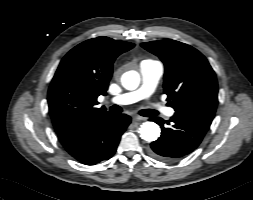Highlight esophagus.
<instances>
[{
    "mask_svg": "<svg viewBox=\"0 0 253 200\" xmlns=\"http://www.w3.org/2000/svg\"><path fill=\"white\" fill-rule=\"evenodd\" d=\"M143 120H145V118L140 117V116L133 117V123H137V122H140V121H143Z\"/></svg>",
    "mask_w": 253,
    "mask_h": 200,
    "instance_id": "obj_1",
    "label": "esophagus"
}]
</instances>
